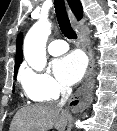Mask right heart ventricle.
I'll use <instances>...</instances> for the list:
<instances>
[{"label":"right heart ventricle","mask_w":117,"mask_h":131,"mask_svg":"<svg viewBox=\"0 0 117 131\" xmlns=\"http://www.w3.org/2000/svg\"><path fill=\"white\" fill-rule=\"evenodd\" d=\"M31 99V98H30ZM31 100H33V101H41V100H38V99H31Z\"/></svg>","instance_id":"right-heart-ventricle-1"}]
</instances>
